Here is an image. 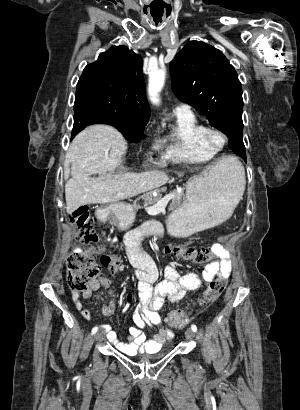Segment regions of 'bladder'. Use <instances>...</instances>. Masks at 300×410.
I'll list each match as a JSON object with an SVG mask.
<instances>
[{
	"label": "bladder",
	"instance_id": "31cf9c89",
	"mask_svg": "<svg viewBox=\"0 0 300 410\" xmlns=\"http://www.w3.org/2000/svg\"><path fill=\"white\" fill-rule=\"evenodd\" d=\"M167 353V349H163L153 355H148V356H142L140 357L141 361L144 362H154L160 360L162 357H164Z\"/></svg>",
	"mask_w": 300,
	"mask_h": 410
}]
</instances>
